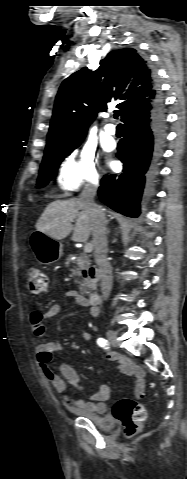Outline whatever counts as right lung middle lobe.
Instances as JSON below:
<instances>
[{
	"instance_id": "obj_1",
	"label": "right lung middle lobe",
	"mask_w": 187,
	"mask_h": 479,
	"mask_svg": "<svg viewBox=\"0 0 187 479\" xmlns=\"http://www.w3.org/2000/svg\"><path fill=\"white\" fill-rule=\"evenodd\" d=\"M82 140L83 139L68 147L54 148L45 151L37 181L38 188L44 187L48 184L63 159L75 150Z\"/></svg>"
}]
</instances>
